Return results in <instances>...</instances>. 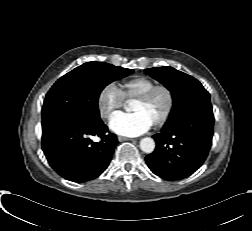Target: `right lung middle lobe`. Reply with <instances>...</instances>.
<instances>
[{
	"label": "right lung middle lobe",
	"instance_id": "dd1d6c3e",
	"mask_svg": "<svg viewBox=\"0 0 252 231\" xmlns=\"http://www.w3.org/2000/svg\"><path fill=\"white\" fill-rule=\"evenodd\" d=\"M133 73L104 62H87L62 76L46 95L42 129L61 120H100L98 97L105 86Z\"/></svg>",
	"mask_w": 252,
	"mask_h": 231
}]
</instances>
